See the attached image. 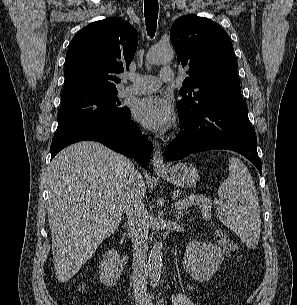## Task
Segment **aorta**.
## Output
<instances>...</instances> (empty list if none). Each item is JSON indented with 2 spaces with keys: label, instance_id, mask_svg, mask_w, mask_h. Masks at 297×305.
Listing matches in <instances>:
<instances>
[{
  "label": "aorta",
  "instance_id": "obj_1",
  "mask_svg": "<svg viewBox=\"0 0 297 305\" xmlns=\"http://www.w3.org/2000/svg\"><path fill=\"white\" fill-rule=\"evenodd\" d=\"M174 57V50L170 45L155 46L147 54L149 64L168 63ZM162 272V243L155 242L149 254L148 273L151 284L154 286L160 280Z\"/></svg>",
  "mask_w": 297,
  "mask_h": 305
}]
</instances>
